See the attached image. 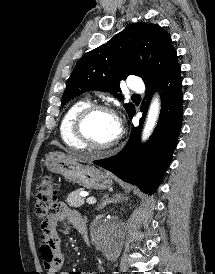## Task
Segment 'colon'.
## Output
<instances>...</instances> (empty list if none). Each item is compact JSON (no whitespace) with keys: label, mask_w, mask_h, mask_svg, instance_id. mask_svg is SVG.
Returning a JSON list of instances; mask_svg holds the SVG:
<instances>
[{"label":"colon","mask_w":215,"mask_h":274,"mask_svg":"<svg viewBox=\"0 0 215 274\" xmlns=\"http://www.w3.org/2000/svg\"><path fill=\"white\" fill-rule=\"evenodd\" d=\"M57 189L50 180L49 177L45 176L36 192L35 202V215L40 220H46L53 209L57 207Z\"/></svg>","instance_id":"obj_1"}]
</instances>
